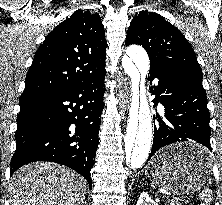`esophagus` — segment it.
Returning a JSON list of instances; mask_svg holds the SVG:
<instances>
[{"instance_id": "obj_1", "label": "esophagus", "mask_w": 222, "mask_h": 205, "mask_svg": "<svg viewBox=\"0 0 222 205\" xmlns=\"http://www.w3.org/2000/svg\"><path fill=\"white\" fill-rule=\"evenodd\" d=\"M128 86L125 82L124 90H123V111L127 109L128 106Z\"/></svg>"}]
</instances>
